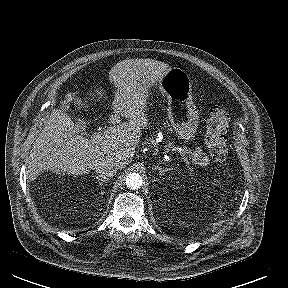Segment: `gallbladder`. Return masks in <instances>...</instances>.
Listing matches in <instances>:
<instances>
[{
	"instance_id": "obj_1",
	"label": "gallbladder",
	"mask_w": 288,
	"mask_h": 288,
	"mask_svg": "<svg viewBox=\"0 0 288 288\" xmlns=\"http://www.w3.org/2000/svg\"><path fill=\"white\" fill-rule=\"evenodd\" d=\"M61 108H63L64 110H68V106L66 103H62L61 104ZM82 125H84V121L82 119H77V122H76V127L79 128L81 127Z\"/></svg>"
}]
</instances>
